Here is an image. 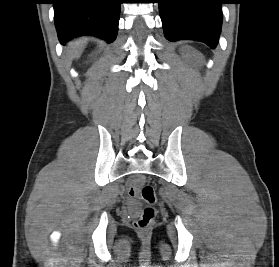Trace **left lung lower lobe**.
Wrapping results in <instances>:
<instances>
[{
	"mask_svg": "<svg viewBox=\"0 0 279 267\" xmlns=\"http://www.w3.org/2000/svg\"><path fill=\"white\" fill-rule=\"evenodd\" d=\"M223 0H158L165 37L192 39L214 49L218 43Z\"/></svg>",
	"mask_w": 279,
	"mask_h": 267,
	"instance_id": "1",
	"label": "left lung lower lobe"
}]
</instances>
